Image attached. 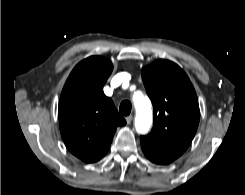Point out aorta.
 <instances>
[{
  "instance_id": "1",
  "label": "aorta",
  "mask_w": 245,
  "mask_h": 195,
  "mask_svg": "<svg viewBox=\"0 0 245 195\" xmlns=\"http://www.w3.org/2000/svg\"><path fill=\"white\" fill-rule=\"evenodd\" d=\"M136 109L135 128L140 134H146L153 121L151 103L142 93H136L133 97Z\"/></svg>"
}]
</instances>
